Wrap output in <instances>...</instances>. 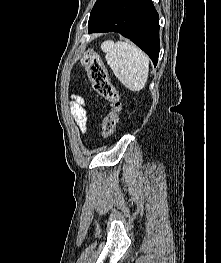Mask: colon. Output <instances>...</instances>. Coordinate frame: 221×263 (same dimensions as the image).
<instances>
[{
  "label": "colon",
  "mask_w": 221,
  "mask_h": 263,
  "mask_svg": "<svg viewBox=\"0 0 221 263\" xmlns=\"http://www.w3.org/2000/svg\"><path fill=\"white\" fill-rule=\"evenodd\" d=\"M83 66L88 74L93 90L109 105V110L102 126V136L109 138L114 134L119 121L121 110L119 94L110 79L106 67L94 52L90 51L86 53Z\"/></svg>",
  "instance_id": "obj_1"
}]
</instances>
